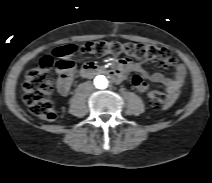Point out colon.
I'll return each instance as SVG.
<instances>
[{
    "mask_svg": "<svg viewBox=\"0 0 212 183\" xmlns=\"http://www.w3.org/2000/svg\"><path fill=\"white\" fill-rule=\"evenodd\" d=\"M76 53L93 56L104 54L124 55L128 58L152 61L157 66L165 69L171 68L177 63L175 57L166 48L131 42L91 41L81 46L67 44L55 48L53 50L54 56L61 59L57 63V69L66 75L73 76L75 65L71 57ZM53 64L52 57H43L36 67L27 72L23 82V97L30 112L49 122L56 119V112L50 100L53 91L51 79ZM147 96L153 107L164 105L168 100L167 95L159 91H149Z\"/></svg>",
    "mask_w": 212,
    "mask_h": 183,
    "instance_id": "colon-1",
    "label": "colon"
}]
</instances>
